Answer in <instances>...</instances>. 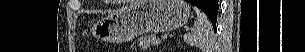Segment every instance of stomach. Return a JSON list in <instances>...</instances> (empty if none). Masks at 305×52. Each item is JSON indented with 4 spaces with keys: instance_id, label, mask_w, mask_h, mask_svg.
Returning <instances> with one entry per match:
<instances>
[{
    "instance_id": "obj_1",
    "label": "stomach",
    "mask_w": 305,
    "mask_h": 52,
    "mask_svg": "<svg viewBox=\"0 0 305 52\" xmlns=\"http://www.w3.org/2000/svg\"><path fill=\"white\" fill-rule=\"evenodd\" d=\"M189 17L184 0H143L93 24L90 34L104 42H126L144 33L178 29Z\"/></svg>"
}]
</instances>
